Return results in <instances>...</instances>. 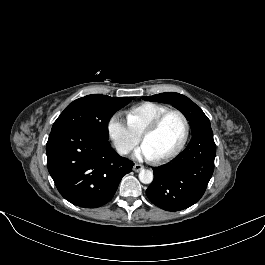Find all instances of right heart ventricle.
Wrapping results in <instances>:
<instances>
[{
    "label": "right heart ventricle",
    "mask_w": 265,
    "mask_h": 265,
    "mask_svg": "<svg viewBox=\"0 0 265 265\" xmlns=\"http://www.w3.org/2000/svg\"><path fill=\"white\" fill-rule=\"evenodd\" d=\"M167 110L169 108L164 105L145 102L129 109L126 112V120L129 127L140 135L149 123Z\"/></svg>",
    "instance_id": "e07e8e85"
}]
</instances>
